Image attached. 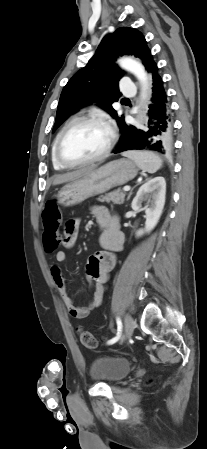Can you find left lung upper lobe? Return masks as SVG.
<instances>
[{
  "label": "left lung upper lobe",
  "instance_id": "left-lung-upper-lobe-1",
  "mask_svg": "<svg viewBox=\"0 0 207 449\" xmlns=\"http://www.w3.org/2000/svg\"><path fill=\"white\" fill-rule=\"evenodd\" d=\"M134 55L142 60L145 68L154 62L144 36L136 29L118 28L106 35L98 46L95 55L87 65L80 69L62 90L54 130L57 129L74 111L83 104L96 100L100 106L117 119L121 127L124 117H117L112 103L118 101L121 94L118 81L123 71L114 63L118 56Z\"/></svg>",
  "mask_w": 207,
  "mask_h": 449
}]
</instances>
